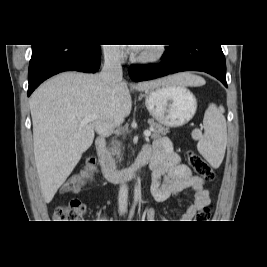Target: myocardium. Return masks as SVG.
<instances>
[{"label":"myocardium","mask_w":267,"mask_h":267,"mask_svg":"<svg viewBox=\"0 0 267 267\" xmlns=\"http://www.w3.org/2000/svg\"><path fill=\"white\" fill-rule=\"evenodd\" d=\"M165 53L164 46L156 45L146 48L143 52L134 57L139 63H152L159 60Z\"/></svg>","instance_id":"obj_1"}]
</instances>
